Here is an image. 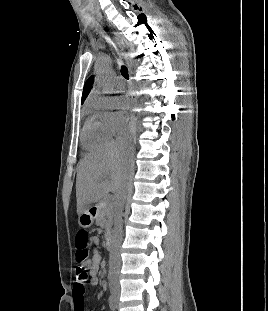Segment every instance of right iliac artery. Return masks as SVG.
I'll return each mask as SVG.
<instances>
[{
  "label": "right iliac artery",
  "mask_w": 268,
  "mask_h": 311,
  "mask_svg": "<svg viewBox=\"0 0 268 311\" xmlns=\"http://www.w3.org/2000/svg\"><path fill=\"white\" fill-rule=\"evenodd\" d=\"M108 302H109L110 309L112 311H115L116 305H115V300L112 295L109 296Z\"/></svg>",
  "instance_id": "obj_1"
}]
</instances>
